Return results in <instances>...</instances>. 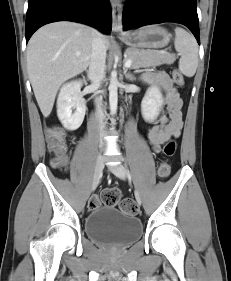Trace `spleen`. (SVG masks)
<instances>
[{
	"label": "spleen",
	"instance_id": "obj_1",
	"mask_svg": "<svg viewBox=\"0 0 231 281\" xmlns=\"http://www.w3.org/2000/svg\"><path fill=\"white\" fill-rule=\"evenodd\" d=\"M175 34V49L181 54L179 70L183 75L192 77L196 73L198 66V45L196 39L180 27L175 28Z\"/></svg>",
	"mask_w": 231,
	"mask_h": 281
}]
</instances>
